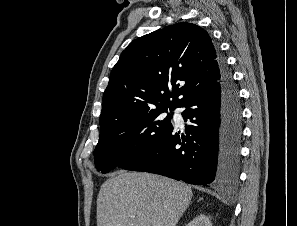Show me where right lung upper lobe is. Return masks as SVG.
I'll return each mask as SVG.
<instances>
[{
	"label": "right lung upper lobe",
	"instance_id": "cb5924a9",
	"mask_svg": "<svg viewBox=\"0 0 297 226\" xmlns=\"http://www.w3.org/2000/svg\"><path fill=\"white\" fill-rule=\"evenodd\" d=\"M219 62L209 34L195 24L178 23L139 37L113 67L103 95L101 129L149 111L180 107L217 84Z\"/></svg>",
	"mask_w": 297,
	"mask_h": 226
}]
</instances>
